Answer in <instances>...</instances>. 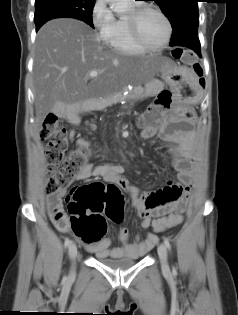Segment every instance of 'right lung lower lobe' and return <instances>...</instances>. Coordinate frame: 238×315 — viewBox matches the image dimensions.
Masks as SVG:
<instances>
[{
  "mask_svg": "<svg viewBox=\"0 0 238 315\" xmlns=\"http://www.w3.org/2000/svg\"><path fill=\"white\" fill-rule=\"evenodd\" d=\"M45 22H47V21H43V22H41V23L36 24V31H38L39 28H40Z\"/></svg>",
  "mask_w": 238,
  "mask_h": 315,
  "instance_id": "98d812e1",
  "label": "right lung lower lobe"
}]
</instances>
